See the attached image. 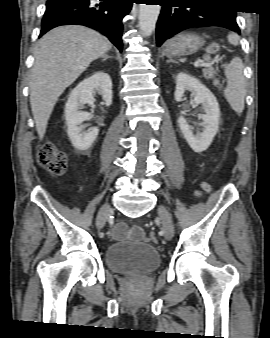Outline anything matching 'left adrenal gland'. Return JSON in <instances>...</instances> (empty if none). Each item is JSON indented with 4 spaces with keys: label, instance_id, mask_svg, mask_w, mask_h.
<instances>
[{
    "label": "left adrenal gland",
    "instance_id": "obj_1",
    "mask_svg": "<svg viewBox=\"0 0 270 338\" xmlns=\"http://www.w3.org/2000/svg\"><path fill=\"white\" fill-rule=\"evenodd\" d=\"M170 62L177 63V62L174 61L173 59H169V60L167 61V63H170Z\"/></svg>",
    "mask_w": 270,
    "mask_h": 338
}]
</instances>
